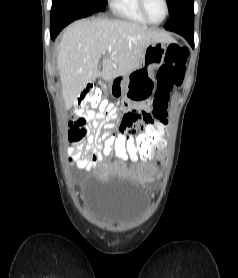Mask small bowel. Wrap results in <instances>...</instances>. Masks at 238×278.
Here are the masks:
<instances>
[{
  "label": "small bowel",
  "mask_w": 238,
  "mask_h": 278,
  "mask_svg": "<svg viewBox=\"0 0 238 278\" xmlns=\"http://www.w3.org/2000/svg\"><path fill=\"white\" fill-rule=\"evenodd\" d=\"M106 120L97 116L92 120L86 128V135L80 140L70 139L75 143L72 148V156L76 161L77 167L81 170L90 171L94 169L98 163L109 159L100 156V149L97 142L98 132ZM147 124H163L156 123L153 114L149 110L147 103L131 104L127 107L121 124L117 127L119 137H136L137 133H144L145 130H164V129H147ZM146 137V135H145ZM84 139V140H83ZM116 154V153H115Z\"/></svg>",
  "instance_id": "c3829d8e"
}]
</instances>
